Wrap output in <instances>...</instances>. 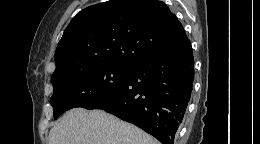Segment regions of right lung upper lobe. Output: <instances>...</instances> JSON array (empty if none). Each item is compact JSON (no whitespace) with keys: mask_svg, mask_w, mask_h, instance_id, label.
I'll return each instance as SVG.
<instances>
[{"mask_svg":"<svg viewBox=\"0 0 260 144\" xmlns=\"http://www.w3.org/2000/svg\"><path fill=\"white\" fill-rule=\"evenodd\" d=\"M187 39L182 24L158 0H110L71 20L55 52L52 75L98 65L130 67Z\"/></svg>","mask_w":260,"mask_h":144,"instance_id":"right-lung-upper-lobe-1","label":"right lung upper lobe"}]
</instances>
